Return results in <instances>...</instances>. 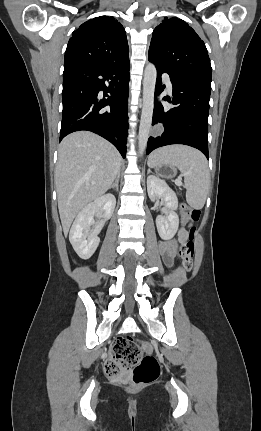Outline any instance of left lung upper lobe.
<instances>
[{
  "label": "left lung upper lobe",
  "mask_w": 261,
  "mask_h": 431,
  "mask_svg": "<svg viewBox=\"0 0 261 431\" xmlns=\"http://www.w3.org/2000/svg\"><path fill=\"white\" fill-rule=\"evenodd\" d=\"M148 58L168 70L211 83L206 46L183 20L165 17L152 35Z\"/></svg>",
  "instance_id": "5c2ea615"
}]
</instances>
